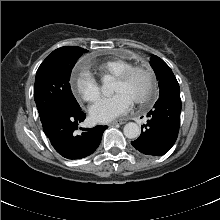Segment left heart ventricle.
Returning <instances> with one entry per match:
<instances>
[{"instance_id":"left-heart-ventricle-1","label":"left heart ventricle","mask_w":220,"mask_h":220,"mask_svg":"<svg viewBox=\"0 0 220 220\" xmlns=\"http://www.w3.org/2000/svg\"><path fill=\"white\" fill-rule=\"evenodd\" d=\"M147 85L146 76L143 73H137L127 82L116 81L114 91L126 93L135 101L145 94Z\"/></svg>"}]
</instances>
